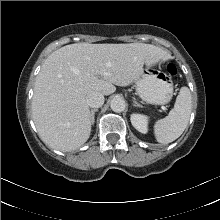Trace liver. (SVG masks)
<instances>
[{
  "label": "liver",
  "instance_id": "obj_1",
  "mask_svg": "<svg viewBox=\"0 0 220 220\" xmlns=\"http://www.w3.org/2000/svg\"><path fill=\"white\" fill-rule=\"evenodd\" d=\"M151 44L66 45L44 61L34 85L32 116L45 144L60 151L82 146L91 133L87 95H110L117 86H128L151 66L170 59Z\"/></svg>",
  "mask_w": 220,
  "mask_h": 220
}]
</instances>
